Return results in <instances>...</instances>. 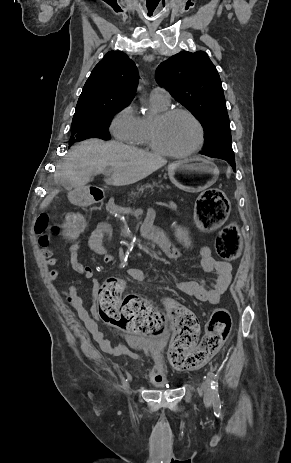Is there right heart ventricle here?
Masks as SVG:
<instances>
[{"label":"right heart ventricle","mask_w":291,"mask_h":463,"mask_svg":"<svg viewBox=\"0 0 291 463\" xmlns=\"http://www.w3.org/2000/svg\"><path fill=\"white\" fill-rule=\"evenodd\" d=\"M153 104L155 107H157L159 110L163 111L167 108V105H163L159 102H156L152 100ZM149 126H150V121L147 120L144 117H139V131L138 135L136 137V140L134 144L136 145H142V146H150L149 142Z\"/></svg>","instance_id":"1"}]
</instances>
